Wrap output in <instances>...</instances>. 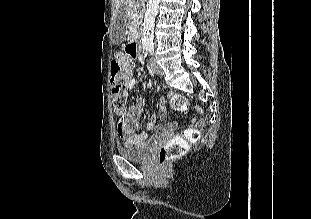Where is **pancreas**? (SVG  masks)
<instances>
[{
    "label": "pancreas",
    "instance_id": "obj_1",
    "mask_svg": "<svg viewBox=\"0 0 311 219\" xmlns=\"http://www.w3.org/2000/svg\"><path fill=\"white\" fill-rule=\"evenodd\" d=\"M143 4L137 3L133 4L131 8L128 10V14L130 15L131 23L129 25V30L133 34H137L139 27L142 23V15H143Z\"/></svg>",
    "mask_w": 311,
    "mask_h": 219
}]
</instances>
